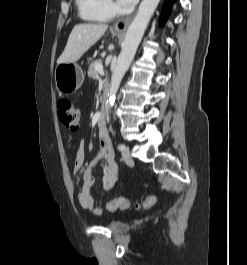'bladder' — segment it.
<instances>
[{"instance_id":"1","label":"bladder","mask_w":247,"mask_h":265,"mask_svg":"<svg viewBox=\"0 0 247 265\" xmlns=\"http://www.w3.org/2000/svg\"><path fill=\"white\" fill-rule=\"evenodd\" d=\"M108 228L114 232L124 233L130 229V225L126 222L119 220H111L108 222Z\"/></svg>"}]
</instances>
